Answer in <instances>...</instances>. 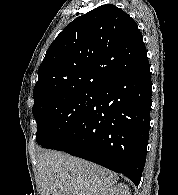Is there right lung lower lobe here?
Wrapping results in <instances>:
<instances>
[{"label": "right lung lower lobe", "instance_id": "right-lung-lower-lobe-1", "mask_svg": "<svg viewBox=\"0 0 178 195\" xmlns=\"http://www.w3.org/2000/svg\"><path fill=\"white\" fill-rule=\"evenodd\" d=\"M151 92L149 63L105 84L54 150L122 173L138 185L146 161Z\"/></svg>", "mask_w": 178, "mask_h": 195}]
</instances>
